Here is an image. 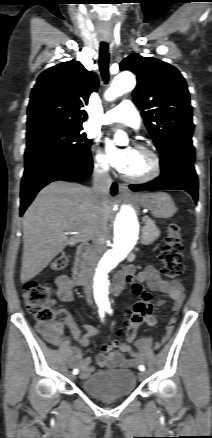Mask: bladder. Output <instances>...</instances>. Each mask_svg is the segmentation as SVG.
<instances>
[{"mask_svg":"<svg viewBox=\"0 0 212 438\" xmlns=\"http://www.w3.org/2000/svg\"><path fill=\"white\" fill-rule=\"evenodd\" d=\"M136 386V374L128 369L103 370L81 381V388L96 397L112 399L130 395Z\"/></svg>","mask_w":212,"mask_h":438,"instance_id":"31cf9c89","label":"bladder"}]
</instances>
